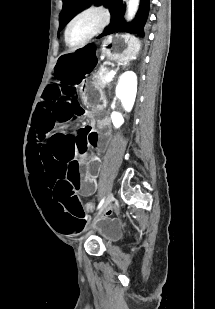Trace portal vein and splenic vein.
Listing matches in <instances>:
<instances>
[{
    "instance_id": "portal-vein-and-splenic-vein-1",
    "label": "portal vein and splenic vein",
    "mask_w": 215,
    "mask_h": 309,
    "mask_svg": "<svg viewBox=\"0 0 215 309\" xmlns=\"http://www.w3.org/2000/svg\"><path fill=\"white\" fill-rule=\"evenodd\" d=\"M115 74H116L115 70H110V72H108L105 80H112V78H114Z\"/></svg>"
}]
</instances>
